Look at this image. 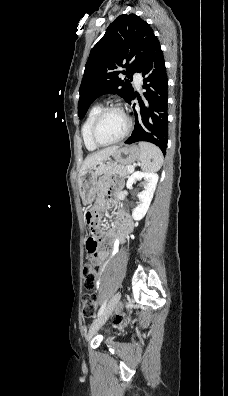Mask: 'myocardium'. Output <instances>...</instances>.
<instances>
[{
	"label": "myocardium",
	"mask_w": 228,
	"mask_h": 396,
	"mask_svg": "<svg viewBox=\"0 0 228 396\" xmlns=\"http://www.w3.org/2000/svg\"><path fill=\"white\" fill-rule=\"evenodd\" d=\"M112 110H118L123 113V115L126 118V129L118 138H116L112 141H109V142H102L99 140V138L97 136V129H98L99 123H100L101 119L103 118V116L107 112L112 111ZM131 129H132V119H131L130 115L128 114V112L126 111V109L121 104H110V105L103 107L99 111V113L96 115V117L92 123V126H91L90 136H91V140L93 141V143L95 145H97L98 147H105V146L116 144V143L122 141L123 139H125L128 136V134L130 133Z\"/></svg>",
	"instance_id": "myocardium-1"
}]
</instances>
